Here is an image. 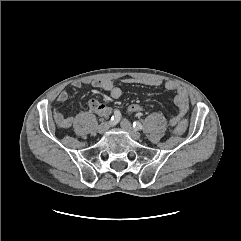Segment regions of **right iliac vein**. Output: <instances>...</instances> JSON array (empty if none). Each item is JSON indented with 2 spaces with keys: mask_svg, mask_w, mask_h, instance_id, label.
Listing matches in <instances>:
<instances>
[{
  "mask_svg": "<svg viewBox=\"0 0 241 241\" xmlns=\"http://www.w3.org/2000/svg\"><path fill=\"white\" fill-rule=\"evenodd\" d=\"M108 129H109V123H107V122H102V123L98 126V132H99L100 134L105 133Z\"/></svg>",
  "mask_w": 241,
  "mask_h": 241,
  "instance_id": "right-iliac-vein-1",
  "label": "right iliac vein"
}]
</instances>
